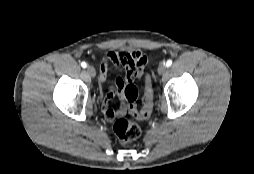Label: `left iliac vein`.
<instances>
[{
  "label": "left iliac vein",
  "instance_id": "left-iliac-vein-1",
  "mask_svg": "<svg viewBox=\"0 0 254 174\" xmlns=\"http://www.w3.org/2000/svg\"><path fill=\"white\" fill-rule=\"evenodd\" d=\"M167 70V66L165 64H160L158 67V74L163 75Z\"/></svg>",
  "mask_w": 254,
  "mask_h": 174
}]
</instances>
